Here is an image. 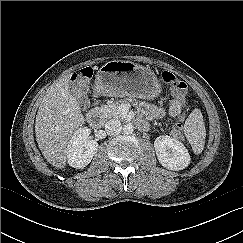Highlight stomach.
<instances>
[{
	"label": "stomach",
	"instance_id": "stomach-1",
	"mask_svg": "<svg viewBox=\"0 0 243 243\" xmlns=\"http://www.w3.org/2000/svg\"><path fill=\"white\" fill-rule=\"evenodd\" d=\"M96 86L102 94L115 97L152 99L161 92V84L150 68L120 60L109 61L98 70Z\"/></svg>",
	"mask_w": 243,
	"mask_h": 243
}]
</instances>
